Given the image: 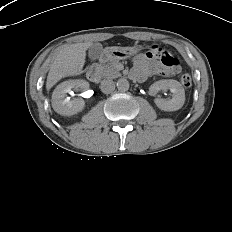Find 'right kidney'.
<instances>
[{"mask_svg": "<svg viewBox=\"0 0 232 232\" xmlns=\"http://www.w3.org/2000/svg\"><path fill=\"white\" fill-rule=\"evenodd\" d=\"M89 88L88 82L85 80H68L59 84L52 94V107L60 115L72 116L81 112L85 107L82 98L69 100L66 94L72 89L86 90Z\"/></svg>", "mask_w": 232, "mask_h": 232, "instance_id": "right-kidney-1", "label": "right kidney"}]
</instances>
